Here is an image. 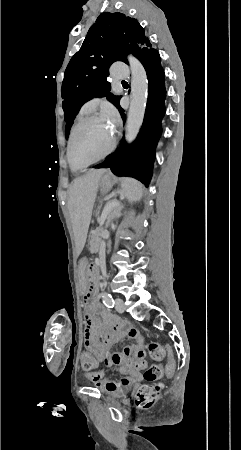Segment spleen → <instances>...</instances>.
<instances>
[{
	"label": "spleen",
	"mask_w": 241,
	"mask_h": 450,
	"mask_svg": "<svg viewBox=\"0 0 241 450\" xmlns=\"http://www.w3.org/2000/svg\"><path fill=\"white\" fill-rule=\"evenodd\" d=\"M122 194L124 198L132 204V202H139L142 198V184H139L137 180H132V178H124L122 180Z\"/></svg>",
	"instance_id": "3e777b00"
}]
</instances>
